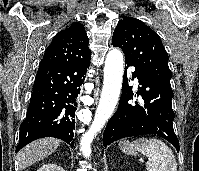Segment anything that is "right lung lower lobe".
Here are the masks:
<instances>
[{
    "label": "right lung lower lobe",
    "instance_id": "right-lung-lower-lobe-1",
    "mask_svg": "<svg viewBox=\"0 0 199 171\" xmlns=\"http://www.w3.org/2000/svg\"><path fill=\"white\" fill-rule=\"evenodd\" d=\"M90 58L76 63L40 64L26 119L20 125L16 152L43 137H55L74 146L75 111Z\"/></svg>",
    "mask_w": 199,
    "mask_h": 171
}]
</instances>
